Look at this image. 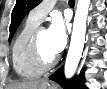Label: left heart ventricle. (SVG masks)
<instances>
[{
  "mask_svg": "<svg viewBox=\"0 0 107 89\" xmlns=\"http://www.w3.org/2000/svg\"><path fill=\"white\" fill-rule=\"evenodd\" d=\"M39 47H40V51H41L42 56L46 60H51L56 55V53L50 47L48 30H46V29H44L40 33Z\"/></svg>",
  "mask_w": 107,
  "mask_h": 89,
  "instance_id": "1",
  "label": "left heart ventricle"
}]
</instances>
